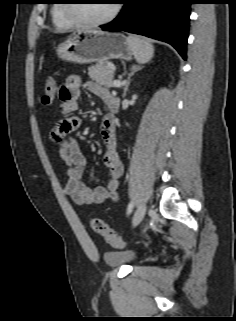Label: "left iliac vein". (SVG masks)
I'll return each mask as SVG.
<instances>
[{
	"mask_svg": "<svg viewBox=\"0 0 236 321\" xmlns=\"http://www.w3.org/2000/svg\"><path fill=\"white\" fill-rule=\"evenodd\" d=\"M147 211V205L141 204L134 213L132 224L133 226H137L142 219L144 218Z\"/></svg>",
	"mask_w": 236,
	"mask_h": 321,
	"instance_id": "obj_1",
	"label": "left iliac vein"
}]
</instances>
